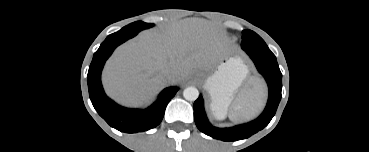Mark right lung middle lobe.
<instances>
[{
    "instance_id": "obj_1",
    "label": "right lung middle lobe",
    "mask_w": 369,
    "mask_h": 152,
    "mask_svg": "<svg viewBox=\"0 0 369 152\" xmlns=\"http://www.w3.org/2000/svg\"><path fill=\"white\" fill-rule=\"evenodd\" d=\"M153 26L154 24L144 23L142 21H136L134 23H131L123 27L120 31L140 32L141 30L148 29Z\"/></svg>"
}]
</instances>
